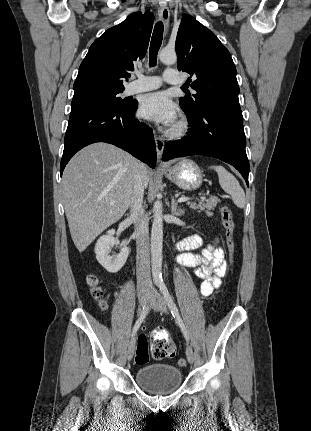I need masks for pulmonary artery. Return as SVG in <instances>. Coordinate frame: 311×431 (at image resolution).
I'll return each mask as SVG.
<instances>
[{
  "instance_id": "1",
  "label": "pulmonary artery",
  "mask_w": 311,
  "mask_h": 431,
  "mask_svg": "<svg viewBox=\"0 0 311 431\" xmlns=\"http://www.w3.org/2000/svg\"><path fill=\"white\" fill-rule=\"evenodd\" d=\"M163 82L168 84H180L183 80L175 76V70L173 69H167L162 76L138 74L137 79L128 84L125 92L129 95L143 93L159 88Z\"/></svg>"
}]
</instances>
